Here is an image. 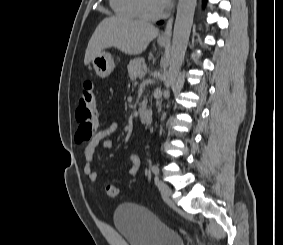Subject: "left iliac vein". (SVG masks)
I'll return each instance as SVG.
<instances>
[{
	"label": "left iliac vein",
	"instance_id": "4c4485c4",
	"mask_svg": "<svg viewBox=\"0 0 283 245\" xmlns=\"http://www.w3.org/2000/svg\"><path fill=\"white\" fill-rule=\"evenodd\" d=\"M157 186H158V189L160 191V194L163 198V200L166 202V203H171V195H172V190L171 188L165 184L164 182L160 181L159 179L157 180Z\"/></svg>",
	"mask_w": 283,
	"mask_h": 245
}]
</instances>
